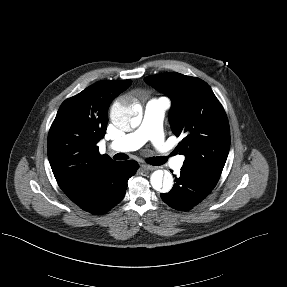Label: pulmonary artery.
<instances>
[{
	"mask_svg": "<svg viewBox=\"0 0 287 287\" xmlns=\"http://www.w3.org/2000/svg\"><path fill=\"white\" fill-rule=\"evenodd\" d=\"M170 102L167 98H153L145 106L144 116L140 126L134 131L110 143L114 151H131L143 146L147 141L157 147L161 152L167 153L162 131V122ZM184 157L178 156L170 160L173 168L179 169L183 165Z\"/></svg>",
	"mask_w": 287,
	"mask_h": 287,
	"instance_id": "pulmonary-artery-1",
	"label": "pulmonary artery"
}]
</instances>
